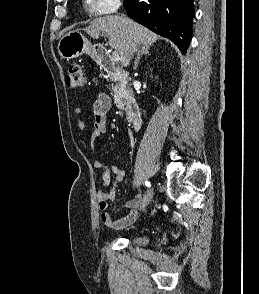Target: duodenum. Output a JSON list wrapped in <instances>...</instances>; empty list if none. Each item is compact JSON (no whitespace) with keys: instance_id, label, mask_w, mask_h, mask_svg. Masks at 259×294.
<instances>
[{"instance_id":"duodenum-1","label":"duodenum","mask_w":259,"mask_h":294,"mask_svg":"<svg viewBox=\"0 0 259 294\" xmlns=\"http://www.w3.org/2000/svg\"><path fill=\"white\" fill-rule=\"evenodd\" d=\"M95 57L98 60L102 68L120 80H125L128 77V73L124 70H121L117 65L111 60L108 54L102 50H97L95 52ZM124 115L126 119L130 122L134 129H138L141 126L142 119L140 109L135 100L134 95L131 92H128L124 96Z\"/></svg>"}]
</instances>
